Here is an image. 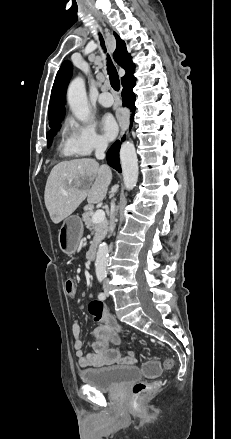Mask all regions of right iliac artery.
<instances>
[{
  "label": "right iliac artery",
  "mask_w": 231,
  "mask_h": 439,
  "mask_svg": "<svg viewBox=\"0 0 231 439\" xmlns=\"http://www.w3.org/2000/svg\"><path fill=\"white\" fill-rule=\"evenodd\" d=\"M98 298H99L100 300H104V299L106 298L105 293H103V292L99 293Z\"/></svg>",
  "instance_id": "right-iliac-artery-1"
}]
</instances>
